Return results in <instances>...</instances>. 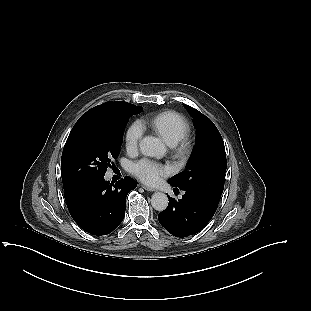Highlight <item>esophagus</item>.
Returning <instances> with one entry per match:
<instances>
[{"mask_svg": "<svg viewBox=\"0 0 311 311\" xmlns=\"http://www.w3.org/2000/svg\"><path fill=\"white\" fill-rule=\"evenodd\" d=\"M141 187L143 189H145L146 191H155V189L153 187L147 186L145 184H142Z\"/></svg>", "mask_w": 311, "mask_h": 311, "instance_id": "34e87169", "label": "esophagus"}]
</instances>
